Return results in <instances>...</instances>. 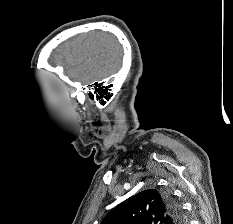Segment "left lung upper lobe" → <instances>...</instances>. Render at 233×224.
<instances>
[{"mask_svg":"<svg viewBox=\"0 0 233 224\" xmlns=\"http://www.w3.org/2000/svg\"><path fill=\"white\" fill-rule=\"evenodd\" d=\"M184 217L174 198L165 191L148 189L129 197L101 224H183Z\"/></svg>","mask_w":233,"mask_h":224,"instance_id":"5c2ea615","label":"left lung upper lobe"}]
</instances>
